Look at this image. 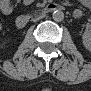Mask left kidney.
<instances>
[{"label":"left kidney","instance_id":"1","mask_svg":"<svg viewBox=\"0 0 91 91\" xmlns=\"http://www.w3.org/2000/svg\"><path fill=\"white\" fill-rule=\"evenodd\" d=\"M83 45L84 47L89 50L91 48V34L90 32L86 31L84 34H83Z\"/></svg>","mask_w":91,"mask_h":91}]
</instances>
